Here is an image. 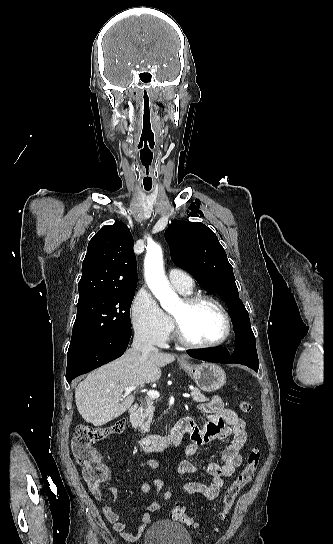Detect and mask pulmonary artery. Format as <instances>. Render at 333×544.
I'll return each instance as SVG.
<instances>
[{
    "instance_id": "1",
    "label": "pulmonary artery",
    "mask_w": 333,
    "mask_h": 544,
    "mask_svg": "<svg viewBox=\"0 0 333 544\" xmlns=\"http://www.w3.org/2000/svg\"><path fill=\"white\" fill-rule=\"evenodd\" d=\"M168 278L171 285L180 292H189L193 289L194 283L191 276L183 270L170 269Z\"/></svg>"
}]
</instances>
